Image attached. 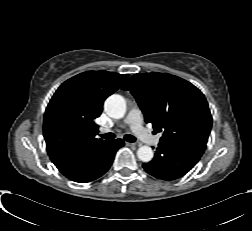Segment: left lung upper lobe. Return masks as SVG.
<instances>
[{
	"mask_svg": "<svg viewBox=\"0 0 252 231\" xmlns=\"http://www.w3.org/2000/svg\"><path fill=\"white\" fill-rule=\"evenodd\" d=\"M122 89L135 97L146 123L163 132L161 141L207 143L212 116L204 95L190 82L170 74L138 73Z\"/></svg>",
	"mask_w": 252,
	"mask_h": 231,
	"instance_id": "1",
	"label": "left lung upper lobe"
}]
</instances>
